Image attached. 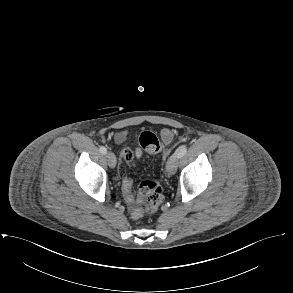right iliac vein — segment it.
Returning a JSON list of instances; mask_svg holds the SVG:
<instances>
[{"mask_svg":"<svg viewBox=\"0 0 293 293\" xmlns=\"http://www.w3.org/2000/svg\"><path fill=\"white\" fill-rule=\"evenodd\" d=\"M106 158H107V161H108V165L111 168H114L116 166V157H115L114 153L113 152H107L106 153Z\"/></svg>","mask_w":293,"mask_h":293,"instance_id":"obj_1","label":"right iliac vein"}]
</instances>
